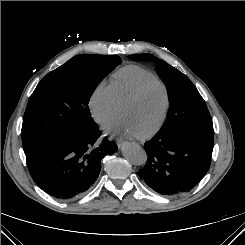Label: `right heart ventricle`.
<instances>
[{
    "mask_svg": "<svg viewBox=\"0 0 245 245\" xmlns=\"http://www.w3.org/2000/svg\"><path fill=\"white\" fill-rule=\"evenodd\" d=\"M154 77L152 72L138 65H126L117 69L110 77V85L117 103L140 83Z\"/></svg>",
    "mask_w": 245,
    "mask_h": 245,
    "instance_id": "1",
    "label": "right heart ventricle"
}]
</instances>
